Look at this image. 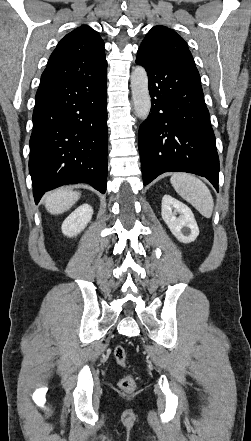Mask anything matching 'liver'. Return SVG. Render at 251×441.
Returning <instances> with one entry per match:
<instances>
[{"label": "liver", "mask_w": 251, "mask_h": 441, "mask_svg": "<svg viewBox=\"0 0 251 441\" xmlns=\"http://www.w3.org/2000/svg\"><path fill=\"white\" fill-rule=\"evenodd\" d=\"M79 197V192L59 188L46 196L44 205L51 214H62L69 210Z\"/></svg>", "instance_id": "obj_1"}]
</instances>
